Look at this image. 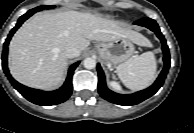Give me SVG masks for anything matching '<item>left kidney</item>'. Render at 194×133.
Masks as SVG:
<instances>
[{"instance_id":"obj_1","label":"left kidney","mask_w":194,"mask_h":133,"mask_svg":"<svg viewBox=\"0 0 194 133\" xmlns=\"http://www.w3.org/2000/svg\"><path fill=\"white\" fill-rule=\"evenodd\" d=\"M111 86L116 89V90H119L120 89V86L116 83V82H111Z\"/></svg>"}]
</instances>
